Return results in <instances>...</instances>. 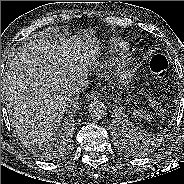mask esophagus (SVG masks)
Here are the masks:
<instances>
[{
	"label": "esophagus",
	"instance_id": "esophagus-1",
	"mask_svg": "<svg viewBox=\"0 0 184 184\" xmlns=\"http://www.w3.org/2000/svg\"><path fill=\"white\" fill-rule=\"evenodd\" d=\"M101 99V94L99 92H94L89 96V100H99Z\"/></svg>",
	"mask_w": 184,
	"mask_h": 184
}]
</instances>
